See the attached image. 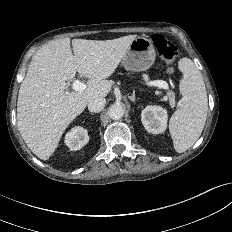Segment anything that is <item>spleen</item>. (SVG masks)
Masks as SVG:
<instances>
[{
  "instance_id": "obj_1",
  "label": "spleen",
  "mask_w": 232,
  "mask_h": 232,
  "mask_svg": "<svg viewBox=\"0 0 232 232\" xmlns=\"http://www.w3.org/2000/svg\"><path fill=\"white\" fill-rule=\"evenodd\" d=\"M178 68L183 73L179 85L182 99L180 108L170 119L169 130L174 149L183 153L198 140L203 131L208 101L203 78L193 61L184 57L178 61Z\"/></svg>"
}]
</instances>
